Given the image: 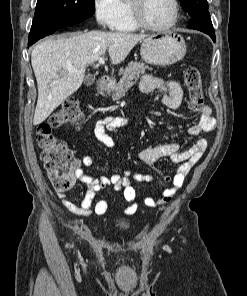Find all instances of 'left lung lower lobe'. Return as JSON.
<instances>
[{
	"instance_id": "1",
	"label": "left lung lower lobe",
	"mask_w": 247,
	"mask_h": 296,
	"mask_svg": "<svg viewBox=\"0 0 247 296\" xmlns=\"http://www.w3.org/2000/svg\"><path fill=\"white\" fill-rule=\"evenodd\" d=\"M188 27L208 34L215 42V32L213 29L209 12H203L199 15L194 16Z\"/></svg>"
}]
</instances>
